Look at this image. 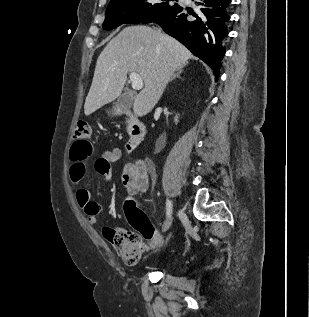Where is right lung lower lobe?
<instances>
[{"label": "right lung lower lobe", "mask_w": 309, "mask_h": 317, "mask_svg": "<svg viewBox=\"0 0 309 317\" xmlns=\"http://www.w3.org/2000/svg\"><path fill=\"white\" fill-rule=\"evenodd\" d=\"M196 10L182 6L144 20L155 22L203 60L218 79L228 36L231 0H197Z\"/></svg>", "instance_id": "right-lung-lower-lobe-1"}]
</instances>
